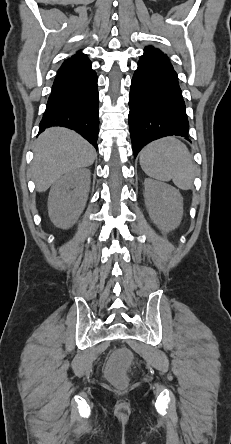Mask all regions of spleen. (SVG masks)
<instances>
[{
  "label": "spleen",
  "mask_w": 231,
  "mask_h": 444,
  "mask_svg": "<svg viewBox=\"0 0 231 444\" xmlns=\"http://www.w3.org/2000/svg\"><path fill=\"white\" fill-rule=\"evenodd\" d=\"M142 170L159 181H170L182 190L193 187L195 167L187 146L166 137L145 146L140 155Z\"/></svg>",
  "instance_id": "1"
}]
</instances>
